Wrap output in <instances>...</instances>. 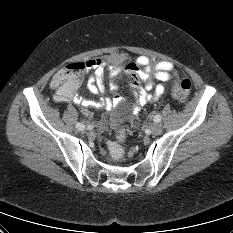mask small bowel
<instances>
[{
    "instance_id": "obj_1",
    "label": "small bowel",
    "mask_w": 233,
    "mask_h": 233,
    "mask_svg": "<svg viewBox=\"0 0 233 233\" xmlns=\"http://www.w3.org/2000/svg\"><path fill=\"white\" fill-rule=\"evenodd\" d=\"M126 57L124 54L114 53L106 56L105 58H94L86 61V67L88 70L95 71V75H91L87 82L88 90L98 95L104 93V85L101 79L97 76V72L107 69L111 78H116L122 71L127 74H136L142 85L133 89V95L135 99L134 110L146 103L156 100L164 93V83L171 78L172 71L174 69L173 63L169 61H160L153 63L147 56H139L135 62L128 63L124 66ZM154 80L158 83L155 84ZM50 86L56 90L54 97L57 103H76L83 106L82 112L84 115L90 114L91 107H113L118 98L114 99H102L100 101H93L87 99L76 92L65 94L56 85L54 76L50 82Z\"/></svg>"
}]
</instances>
